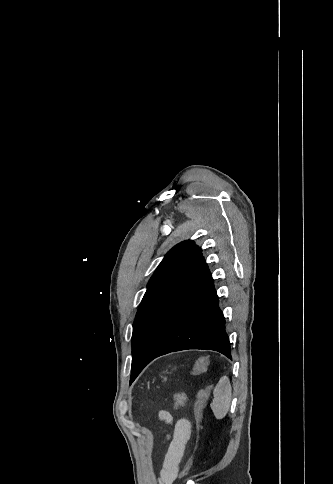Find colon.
<instances>
[{"mask_svg":"<svg viewBox=\"0 0 333 484\" xmlns=\"http://www.w3.org/2000/svg\"><path fill=\"white\" fill-rule=\"evenodd\" d=\"M208 366V359L207 358H202L199 360L192 368V374L193 375H198L203 373ZM213 386H207L203 388L202 390L199 391L197 394V398L194 404V411H195V417H196V424H197V430H200V423H201V417L202 413L204 410V407L206 405L207 398L212 390ZM187 401V395L184 391L177 392L174 395V406L175 408H181L185 405ZM193 463V458H190L189 461L185 464L183 469L180 472V478L185 477L189 470L191 469Z\"/></svg>","mask_w":333,"mask_h":484,"instance_id":"5ec220e1","label":"colon"}]
</instances>
